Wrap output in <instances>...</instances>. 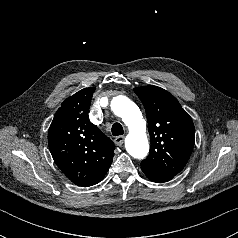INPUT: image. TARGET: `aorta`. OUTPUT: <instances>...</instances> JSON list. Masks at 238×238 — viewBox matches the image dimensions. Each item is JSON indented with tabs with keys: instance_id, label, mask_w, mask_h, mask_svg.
Here are the masks:
<instances>
[{
	"instance_id": "1",
	"label": "aorta",
	"mask_w": 238,
	"mask_h": 238,
	"mask_svg": "<svg viewBox=\"0 0 238 238\" xmlns=\"http://www.w3.org/2000/svg\"><path fill=\"white\" fill-rule=\"evenodd\" d=\"M111 109L128 126L129 134L125 140L127 152L134 158L146 157L149 145L146 123L139 108L126 96H116L111 101Z\"/></svg>"
}]
</instances>
